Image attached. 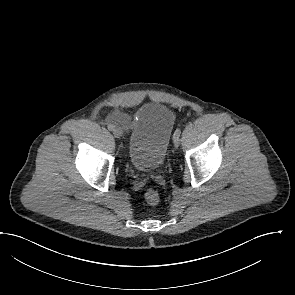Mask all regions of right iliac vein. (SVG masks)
Returning a JSON list of instances; mask_svg holds the SVG:
<instances>
[{
	"label": "right iliac vein",
	"mask_w": 295,
	"mask_h": 295,
	"mask_svg": "<svg viewBox=\"0 0 295 295\" xmlns=\"http://www.w3.org/2000/svg\"><path fill=\"white\" fill-rule=\"evenodd\" d=\"M113 135H114L115 138H121L122 135H123V132H122L121 128H119V127L115 128L113 130Z\"/></svg>",
	"instance_id": "1"
}]
</instances>
